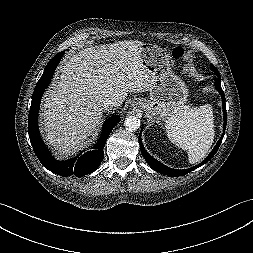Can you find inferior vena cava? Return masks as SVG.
I'll return each mask as SVG.
<instances>
[{
    "instance_id": "inferior-vena-cava-1",
    "label": "inferior vena cava",
    "mask_w": 253,
    "mask_h": 253,
    "mask_svg": "<svg viewBox=\"0 0 253 253\" xmlns=\"http://www.w3.org/2000/svg\"><path fill=\"white\" fill-rule=\"evenodd\" d=\"M119 106H120V103L117 100H113V99H105L100 104L102 111H110L115 108H118Z\"/></svg>"
}]
</instances>
